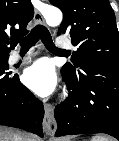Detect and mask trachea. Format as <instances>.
<instances>
[{
  "mask_svg": "<svg viewBox=\"0 0 119 141\" xmlns=\"http://www.w3.org/2000/svg\"><path fill=\"white\" fill-rule=\"evenodd\" d=\"M41 39L45 47L52 52H66L65 50L59 49L55 46L52 41V37L48 29L43 25L35 26L31 33L25 38L20 40L21 49H29L34 46L37 41Z\"/></svg>",
  "mask_w": 119,
  "mask_h": 141,
  "instance_id": "3493384b",
  "label": "trachea"
}]
</instances>
